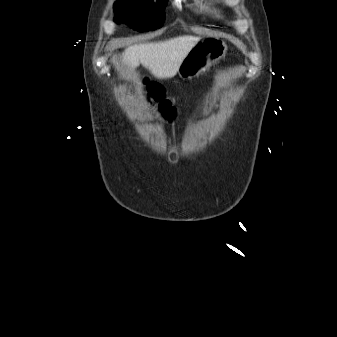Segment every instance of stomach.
Returning <instances> with one entry per match:
<instances>
[{"instance_id":"obj_1","label":"stomach","mask_w":337,"mask_h":337,"mask_svg":"<svg viewBox=\"0 0 337 337\" xmlns=\"http://www.w3.org/2000/svg\"><path fill=\"white\" fill-rule=\"evenodd\" d=\"M227 45L220 39L200 40L182 61L178 75L182 79H191L205 72L209 67L226 55Z\"/></svg>"}]
</instances>
